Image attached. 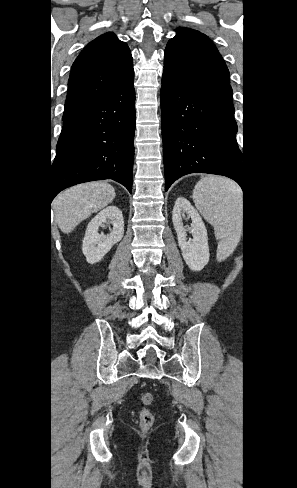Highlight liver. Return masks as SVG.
Listing matches in <instances>:
<instances>
[{
    "label": "liver",
    "mask_w": 297,
    "mask_h": 488,
    "mask_svg": "<svg viewBox=\"0 0 297 488\" xmlns=\"http://www.w3.org/2000/svg\"><path fill=\"white\" fill-rule=\"evenodd\" d=\"M115 190L107 182H89L73 186L60 193L52 208L58 226L63 233L72 232L75 227L115 198Z\"/></svg>",
    "instance_id": "1"
}]
</instances>
